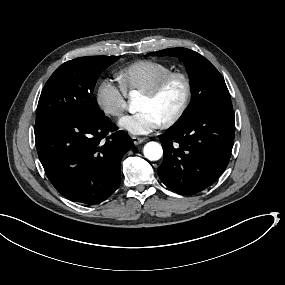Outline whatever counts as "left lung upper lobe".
<instances>
[{
  "instance_id": "5c2ea615",
  "label": "left lung upper lobe",
  "mask_w": 285,
  "mask_h": 285,
  "mask_svg": "<svg viewBox=\"0 0 285 285\" xmlns=\"http://www.w3.org/2000/svg\"><path fill=\"white\" fill-rule=\"evenodd\" d=\"M147 56H175L183 61L187 68L193 98L177 123L212 109L233 110L230 94L222 75L199 53L186 48H170L149 53Z\"/></svg>"
}]
</instances>
